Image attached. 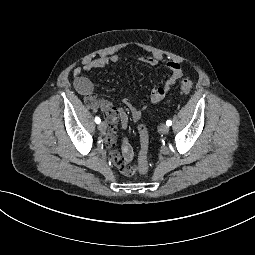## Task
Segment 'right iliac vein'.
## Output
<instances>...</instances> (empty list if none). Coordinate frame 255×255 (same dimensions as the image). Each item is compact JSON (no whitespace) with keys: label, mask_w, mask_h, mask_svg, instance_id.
Segmentation results:
<instances>
[{"label":"right iliac vein","mask_w":255,"mask_h":255,"mask_svg":"<svg viewBox=\"0 0 255 255\" xmlns=\"http://www.w3.org/2000/svg\"><path fill=\"white\" fill-rule=\"evenodd\" d=\"M98 129H99L101 132H104V131L107 129L106 123H105V122L99 123Z\"/></svg>","instance_id":"63e3f726"}]
</instances>
